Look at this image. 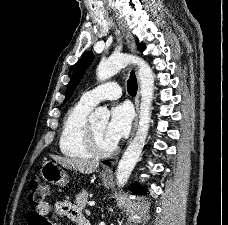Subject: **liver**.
<instances>
[{
    "label": "liver",
    "instance_id": "1",
    "mask_svg": "<svg viewBox=\"0 0 228 225\" xmlns=\"http://www.w3.org/2000/svg\"><path fill=\"white\" fill-rule=\"evenodd\" d=\"M52 159L65 167V169H73V171H79V173H93L95 169H98L99 163L97 161H84V159H66V157H54Z\"/></svg>",
    "mask_w": 228,
    "mask_h": 225
}]
</instances>
